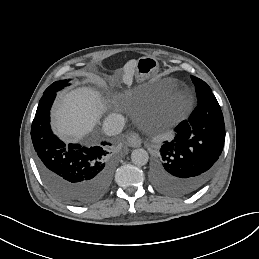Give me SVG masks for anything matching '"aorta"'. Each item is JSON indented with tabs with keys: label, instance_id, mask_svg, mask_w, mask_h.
<instances>
[{
	"label": "aorta",
	"instance_id": "aorta-1",
	"mask_svg": "<svg viewBox=\"0 0 259 259\" xmlns=\"http://www.w3.org/2000/svg\"><path fill=\"white\" fill-rule=\"evenodd\" d=\"M149 159V155L146 150L139 148L132 151L131 160L133 164L137 166L146 165Z\"/></svg>",
	"mask_w": 259,
	"mask_h": 259
}]
</instances>
